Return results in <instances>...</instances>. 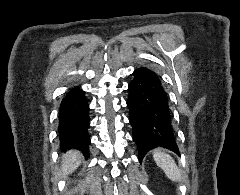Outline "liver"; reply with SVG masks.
<instances>
[{
    "label": "liver",
    "mask_w": 240,
    "mask_h": 195,
    "mask_svg": "<svg viewBox=\"0 0 240 195\" xmlns=\"http://www.w3.org/2000/svg\"><path fill=\"white\" fill-rule=\"evenodd\" d=\"M83 155L77 149H70L63 155L62 171L63 177H67L68 173H72L74 169H77Z\"/></svg>",
    "instance_id": "1"
}]
</instances>
